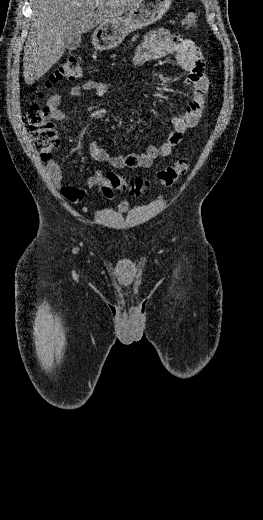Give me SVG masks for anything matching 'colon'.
<instances>
[{
	"label": "colon",
	"instance_id": "1",
	"mask_svg": "<svg viewBox=\"0 0 263 520\" xmlns=\"http://www.w3.org/2000/svg\"><path fill=\"white\" fill-rule=\"evenodd\" d=\"M198 23V13L194 8L185 11L182 18V25L186 29L194 28ZM82 75V67L80 57L78 55H70L65 62L51 74L47 85L59 81H72L78 79ZM30 132L36 148L43 160H48L53 151L60 144L55 126L49 117L48 106H43L34 101L27 113ZM190 163L187 159H179L172 165H168L158 171L154 180L144 179L142 177L128 178L115 172H107L103 180L99 183V187L103 195L107 198L112 196L113 191H126L133 196H139L153 184L160 188H167L174 185L181 177L189 171Z\"/></svg>",
	"mask_w": 263,
	"mask_h": 520
}]
</instances>
